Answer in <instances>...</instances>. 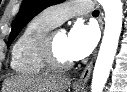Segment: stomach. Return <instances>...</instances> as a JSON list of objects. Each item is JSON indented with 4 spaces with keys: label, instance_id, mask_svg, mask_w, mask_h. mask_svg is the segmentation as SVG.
I'll list each match as a JSON object with an SVG mask.
<instances>
[{
    "label": "stomach",
    "instance_id": "obj_1",
    "mask_svg": "<svg viewBox=\"0 0 127 92\" xmlns=\"http://www.w3.org/2000/svg\"><path fill=\"white\" fill-rule=\"evenodd\" d=\"M75 92H82V89H75Z\"/></svg>",
    "mask_w": 127,
    "mask_h": 92
}]
</instances>
